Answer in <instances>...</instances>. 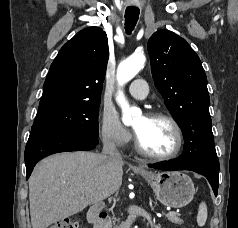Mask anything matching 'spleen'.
Returning a JSON list of instances; mask_svg holds the SVG:
<instances>
[{
  "mask_svg": "<svg viewBox=\"0 0 238 228\" xmlns=\"http://www.w3.org/2000/svg\"><path fill=\"white\" fill-rule=\"evenodd\" d=\"M208 212H207V205L205 202H201L198 208L197 214V224L202 227L205 225L207 220Z\"/></svg>",
  "mask_w": 238,
  "mask_h": 228,
  "instance_id": "spleen-1",
  "label": "spleen"
}]
</instances>
